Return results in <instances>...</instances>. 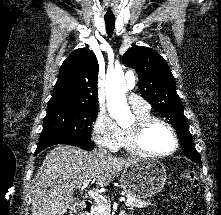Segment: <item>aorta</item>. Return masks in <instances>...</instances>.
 <instances>
[{
    "label": "aorta",
    "instance_id": "aorta-1",
    "mask_svg": "<svg viewBox=\"0 0 221 215\" xmlns=\"http://www.w3.org/2000/svg\"><path fill=\"white\" fill-rule=\"evenodd\" d=\"M134 86V77L126 82L123 71H115L106 78L105 93L108 112L120 125H128L134 120L125 96L128 89Z\"/></svg>",
    "mask_w": 221,
    "mask_h": 215
}]
</instances>
